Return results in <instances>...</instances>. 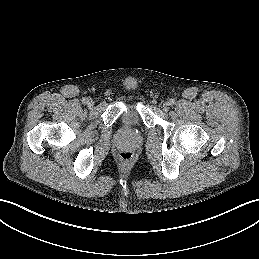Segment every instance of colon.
Here are the masks:
<instances>
[{
  "instance_id": "1",
  "label": "colon",
  "mask_w": 259,
  "mask_h": 259,
  "mask_svg": "<svg viewBox=\"0 0 259 259\" xmlns=\"http://www.w3.org/2000/svg\"><path fill=\"white\" fill-rule=\"evenodd\" d=\"M119 159L124 164H129L133 160V153L130 151H122L119 154Z\"/></svg>"
}]
</instances>
